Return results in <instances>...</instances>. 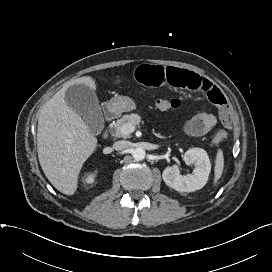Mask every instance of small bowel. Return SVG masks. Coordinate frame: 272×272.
Instances as JSON below:
<instances>
[{"mask_svg":"<svg viewBox=\"0 0 272 272\" xmlns=\"http://www.w3.org/2000/svg\"><path fill=\"white\" fill-rule=\"evenodd\" d=\"M135 79L142 85L155 87L170 85L205 93L208 99L219 108V116L226 127H230V109L221 90L202 76L189 70L144 64L136 68ZM217 118L209 113H199L188 119L183 131L191 136H202L216 124Z\"/></svg>","mask_w":272,"mask_h":272,"instance_id":"1","label":"small bowel"}]
</instances>
